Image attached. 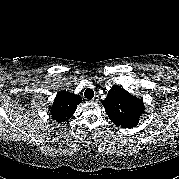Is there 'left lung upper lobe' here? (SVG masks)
Masks as SVG:
<instances>
[{"instance_id": "5c2ea615", "label": "left lung upper lobe", "mask_w": 179, "mask_h": 179, "mask_svg": "<svg viewBox=\"0 0 179 179\" xmlns=\"http://www.w3.org/2000/svg\"><path fill=\"white\" fill-rule=\"evenodd\" d=\"M109 119L117 126L133 128L144 113V103L125 89L114 85L103 101Z\"/></svg>"}]
</instances>
